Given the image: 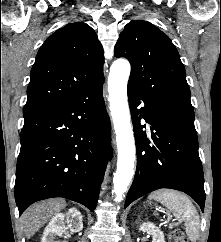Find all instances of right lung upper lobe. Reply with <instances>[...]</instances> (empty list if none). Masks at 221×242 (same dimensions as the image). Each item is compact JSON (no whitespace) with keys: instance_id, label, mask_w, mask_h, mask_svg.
Listing matches in <instances>:
<instances>
[{"instance_id":"obj_1","label":"right lung upper lobe","mask_w":221,"mask_h":242,"mask_svg":"<svg viewBox=\"0 0 221 242\" xmlns=\"http://www.w3.org/2000/svg\"><path fill=\"white\" fill-rule=\"evenodd\" d=\"M103 48L86 23L65 25L40 47L31 69L23 114L64 103L103 75Z\"/></svg>"}]
</instances>
